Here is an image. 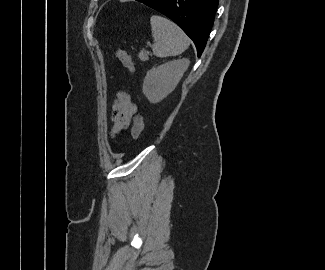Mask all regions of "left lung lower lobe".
<instances>
[{
  "label": "left lung lower lobe",
  "mask_w": 325,
  "mask_h": 270,
  "mask_svg": "<svg viewBox=\"0 0 325 270\" xmlns=\"http://www.w3.org/2000/svg\"><path fill=\"white\" fill-rule=\"evenodd\" d=\"M173 20L194 42L201 56L214 22L218 0H136Z\"/></svg>",
  "instance_id": "obj_1"
}]
</instances>
